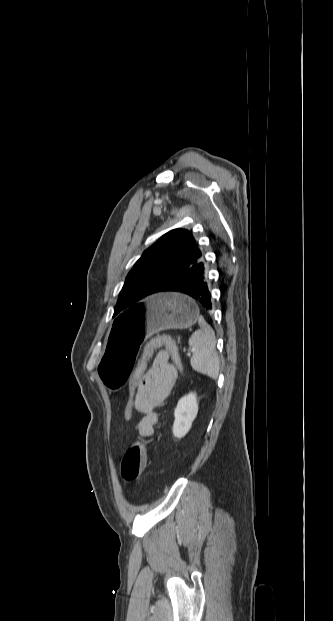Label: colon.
<instances>
[{
    "instance_id": "colon-1",
    "label": "colon",
    "mask_w": 333,
    "mask_h": 621,
    "mask_svg": "<svg viewBox=\"0 0 333 621\" xmlns=\"http://www.w3.org/2000/svg\"><path fill=\"white\" fill-rule=\"evenodd\" d=\"M159 347H165L173 362L178 369L181 368V359L176 345L167 337L159 336L151 339L145 346L138 364L130 377L129 399L125 407V417L132 416L134 399L138 391L141 380L146 372V366L153 351ZM146 450L143 445L136 444L130 447L124 454L121 461V475L126 482H133L138 479L146 467Z\"/></svg>"
}]
</instances>
